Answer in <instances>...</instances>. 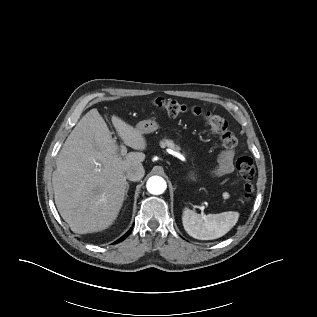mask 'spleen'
Instances as JSON below:
<instances>
[{
    "instance_id": "obj_1",
    "label": "spleen",
    "mask_w": 317,
    "mask_h": 317,
    "mask_svg": "<svg viewBox=\"0 0 317 317\" xmlns=\"http://www.w3.org/2000/svg\"><path fill=\"white\" fill-rule=\"evenodd\" d=\"M239 213L227 211L219 214H197L188 208L183 210L182 223L185 231L199 240H213L224 236L237 223Z\"/></svg>"
}]
</instances>
